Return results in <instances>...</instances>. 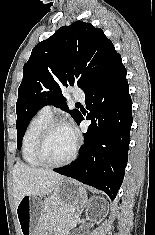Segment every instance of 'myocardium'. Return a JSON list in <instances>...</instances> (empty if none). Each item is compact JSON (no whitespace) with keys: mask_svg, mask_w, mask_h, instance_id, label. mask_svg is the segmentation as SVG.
I'll use <instances>...</instances> for the list:
<instances>
[{"mask_svg":"<svg viewBox=\"0 0 155 235\" xmlns=\"http://www.w3.org/2000/svg\"><path fill=\"white\" fill-rule=\"evenodd\" d=\"M57 126H65V127L70 128V126L65 121H63L62 119H57V118L56 119H51L45 125L43 130L41 131V133L39 135V138L37 140V143H36V147H35V156H36L37 160L42 165L47 166V167H61V166H65V165L71 163L75 159V157L78 153L79 147H80V138L73 131V134L75 136V144H74V147H73L70 155L62 161H58V162L49 161L45 156L44 149H45V145L47 143V140L49 138L50 133Z\"/></svg>","mask_w":155,"mask_h":235,"instance_id":"myocardium-1","label":"myocardium"}]
</instances>
